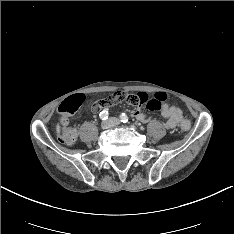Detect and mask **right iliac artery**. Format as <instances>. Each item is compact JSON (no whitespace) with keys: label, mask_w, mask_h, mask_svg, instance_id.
Wrapping results in <instances>:
<instances>
[{"label":"right iliac artery","mask_w":234,"mask_h":234,"mask_svg":"<svg viewBox=\"0 0 234 234\" xmlns=\"http://www.w3.org/2000/svg\"><path fill=\"white\" fill-rule=\"evenodd\" d=\"M99 116H100V118H101L102 120H106V119L108 118V116H109V113H108V111H102V112L99 114Z\"/></svg>","instance_id":"1"}]
</instances>
